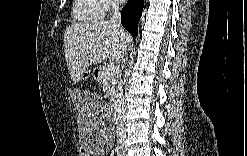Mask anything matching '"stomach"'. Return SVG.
I'll return each mask as SVG.
<instances>
[{"label":"stomach","mask_w":247,"mask_h":156,"mask_svg":"<svg viewBox=\"0 0 247 156\" xmlns=\"http://www.w3.org/2000/svg\"><path fill=\"white\" fill-rule=\"evenodd\" d=\"M89 74H90V71L88 69H85V71L82 74V77L83 78H88L89 77Z\"/></svg>","instance_id":"obj_1"}]
</instances>
